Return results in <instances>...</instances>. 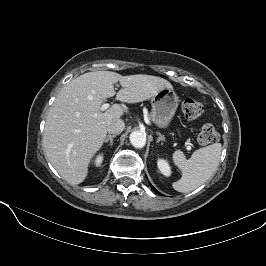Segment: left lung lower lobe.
Masks as SVG:
<instances>
[{
	"label": "left lung lower lobe",
	"instance_id": "1",
	"mask_svg": "<svg viewBox=\"0 0 266 266\" xmlns=\"http://www.w3.org/2000/svg\"><path fill=\"white\" fill-rule=\"evenodd\" d=\"M151 188L156 192L158 193L159 195H161L153 186H151Z\"/></svg>",
	"mask_w": 266,
	"mask_h": 266
}]
</instances>
